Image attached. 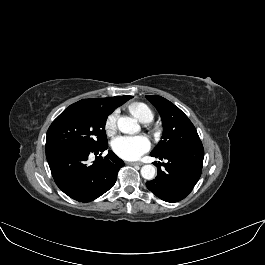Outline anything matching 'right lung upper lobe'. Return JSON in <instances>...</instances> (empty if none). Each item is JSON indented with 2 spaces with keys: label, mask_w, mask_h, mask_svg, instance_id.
I'll use <instances>...</instances> for the list:
<instances>
[{
  "label": "right lung upper lobe",
  "mask_w": 265,
  "mask_h": 265,
  "mask_svg": "<svg viewBox=\"0 0 265 265\" xmlns=\"http://www.w3.org/2000/svg\"><path fill=\"white\" fill-rule=\"evenodd\" d=\"M132 98V96H116V97H108V98H92V99H84L81 101H86L90 103L97 104L108 111L112 112L116 107L123 104L128 99Z\"/></svg>",
  "instance_id": "1"
}]
</instances>
